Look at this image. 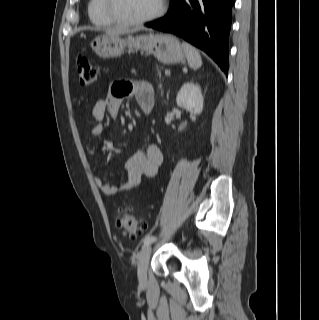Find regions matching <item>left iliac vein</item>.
I'll return each mask as SVG.
<instances>
[{
    "label": "left iliac vein",
    "mask_w": 319,
    "mask_h": 320,
    "mask_svg": "<svg viewBox=\"0 0 319 320\" xmlns=\"http://www.w3.org/2000/svg\"><path fill=\"white\" fill-rule=\"evenodd\" d=\"M151 255V246L145 245L138 254L137 274L139 282L144 284L147 280V269Z\"/></svg>",
    "instance_id": "left-iliac-vein-1"
}]
</instances>
